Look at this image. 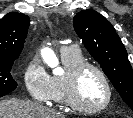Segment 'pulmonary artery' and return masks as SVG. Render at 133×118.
Segmentation results:
<instances>
[{
	"label": "pulmonary artery",
	"instance_id": "obj_1",
	"mask_svg": "<svg viewBox=\"0 0 133 118\" xmlns=\"http://www.w3.org/2000/svg\"><path fill=\"white\" fill-rule=\"evenodd\" d=\"M79 51L78 47L75 45H71V46H63L61 48V53L62 54H66V53H70V52H77Z\"/></svg>",
	"mask_w": 133,
	"mask_h": 118
}]
</instances>
